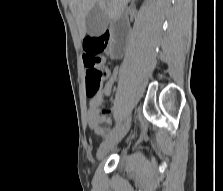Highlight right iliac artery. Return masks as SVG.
Returning <instances> with one entry per match:
<instances>
[{"instance_id": "obj_1", "label": "right iliac artery", "mask_w": 223, "mask_h": 191, "mask_svg": "<svg viewBox=\"0 0 223 191\" xmlns=\"http://www.w3.org/2000/svg\"><path fill=\"white\" fill-rule=\"evenodd\" d=\"M119 127H120V123L118 125H116V127L107 134V137L111 136L115 131H117L119 129Z\"/></svg>"}]
</instances>
